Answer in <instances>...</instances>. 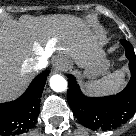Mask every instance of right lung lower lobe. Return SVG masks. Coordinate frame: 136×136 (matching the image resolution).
Instances as JSON below:
<instances>
[{
	"mask_svg": "<svg viewBox=\"0 0 136 136\" xmlns=\"http://www.w3.org/2000/svg\"><path fill=\"white\" fill-rule=\"evenodd\" d=\"M47 73L37 76L17 100L0 104V136L19 135L34 126Z\"/></svg>",
	"mask_w": 136,
	"mask_h": 136,
	"instance_id": "98d812e1",
	"label": "right lung lower lobe"
}]
</instances>
